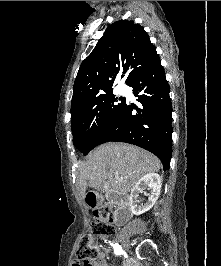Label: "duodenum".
Segmentation results:
<instances>
[{"mask_svg":"<svg viewBox=\"0 0 221 266\" xmlns=\"http://www.w3.org/2000/svg\"><path fill=\"white\" fill-rule=\"evenodd\" d=\"M110 198L118 206L114 218L115 224L122 226L127 223L132 216L131 199L129 196L120 193H111ZM85 203H87L88 206H99L100 194H96L95 190L87 191Z\"/></svg>","mask_w":221,"mask_h":266,"instance_id":"obj_1","label":"duodenum"}]
</instances>
